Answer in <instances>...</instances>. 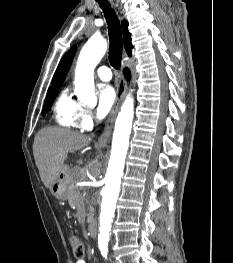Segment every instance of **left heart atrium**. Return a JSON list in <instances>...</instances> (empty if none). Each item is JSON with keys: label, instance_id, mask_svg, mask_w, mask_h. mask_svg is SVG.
Listing matches in <instances>:
<instances>
[{"label": "left heart atrium", "instance_id": "left-heart-atrium-1", "mask_svg": "<svg viewBox=\"0 0 233 263\" xmlns=\"http://www.w3.org/2000/svg\"><path fill=\"white\" fill-rule=\"evenodd\" d=\"M116 102V93L113 87L103 85L98 91L97 117L104 118L114 107Z\"/></svg>", "mask_w": 233, "mask_h": 263}]
</instances>
